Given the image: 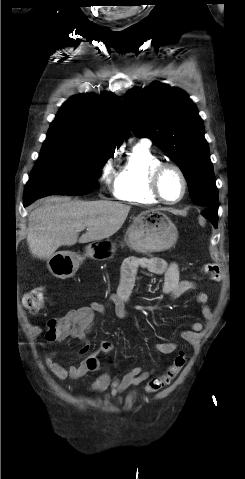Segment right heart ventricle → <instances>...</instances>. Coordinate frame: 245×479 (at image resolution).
Wrapping results in <instances>:
<instances>
[{
	"mask_svg": "<svg viewBox=\"0 0 245 479\" xmlns=\"http://www.w3.org/2000/svg\"><path fill=\"white\" fill-rule=\"evenodd\" d=\"M162 160L145 142L135 144L117 172L113 193L122 201L152 205L158 203L150 189V176Z\"/></svg>",
	"mask_w": 245,
	"mask_h": 479,
	"instance_id": "1",
	"label": "right heart ventricle"
}]
</instances>
